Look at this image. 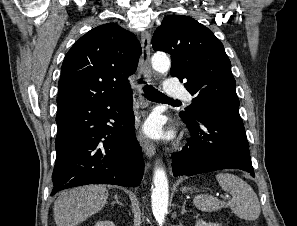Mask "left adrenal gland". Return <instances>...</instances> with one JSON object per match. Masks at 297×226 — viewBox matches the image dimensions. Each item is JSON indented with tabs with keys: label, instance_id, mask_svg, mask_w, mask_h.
Instances as JSON below:
<instances>
[{
	"label": "left adrenal gland",
	"instance_id": "1",
	"mask_svg": "<svg viewBox=\"0 0 297 226\" xmlns=\"http://www.w3.org/2000/svg\"><path fill=\"white\" fill-rule=\"evenodd\" d=\"M185 205H186V200L183 202V205H182V211H181L182 214L187 212V210L185 209Z\"/></svg>",
	"mask_w": 297,
	"mask_h": 226
}]
</instances>
